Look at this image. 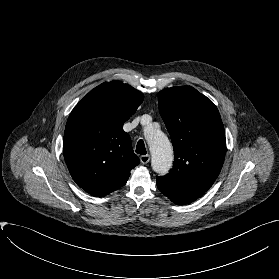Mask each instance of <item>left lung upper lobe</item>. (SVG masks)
Segmentation results:
<instances>
[{"label":"left lung upper lobe","instance_id":"left-lung-upper-lobe-1","mask_svg":"<svg viewBox=\"0 0 279 279\" xmlns=\"http://www.w3.org/2000/svg\"><path fill=\"white\" fill-rule=\"evenodd\" d=\"M160 115L171 136L174 166L157 183L199 198L218 177L226 153L224 126L216 106L191 86L158 93Z\"/></svg>","mask_w":279,"mask_h":279}]
</instances>
